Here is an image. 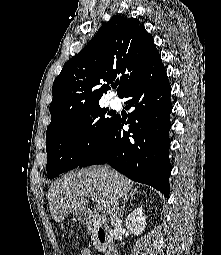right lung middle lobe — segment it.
<instances>
[{"label":"right lung middle lobe","mask_w":221,"mask_h":255,"mask_svg":"<svg viewBox=\"0 0 221 255\" xmlns=\"http://www.w3.org/2000/svg\"><path fill=\"white\" fill-rule=\"evenodd\" d=\"M99 103L77 111L46 132L48 178L78 167L94 150L115 119Z\"/></svg>","instance_id":"obj_1"}]
</instances>
